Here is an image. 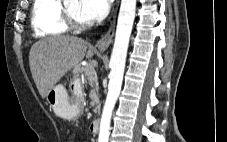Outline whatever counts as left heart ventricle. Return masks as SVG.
I'll list each match as a JSON object with an SVG mask.
<instances>
[{
    "label": "left heart ventricle",
    "instance_id": "left-heart-ventricle-1",
    "mask_svg": "<svg viewBox=\"0 0 227 142\" xmlns=\"http://www.w3.org/2000/svg\"><path fill=\"white\" fill-rule=\"evenodd\" d=\"M69 12L81 21H87L80 13L79 0H70L66 5Z\"/></svg>",
    "mask_w": 227,
    "mask_h": 142
}]
</instances>
